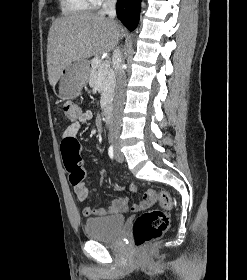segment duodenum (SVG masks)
<instances>
[{"instance_id": "410a0bca", "label": "duodenum", "mask_w": 247, "mask_h": 280, "mask_svg": "<svg viewBox=\"0 0 247 280\" xmlns=\"http://www.w3.org/2000/svg\"><path fill=\"white\" fill-rule=\"evenodd\" d=\"M103 118L106 122H109L111 120V108L109 106H106L103 109Z\"/></svg>"}]
</instances>
